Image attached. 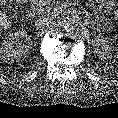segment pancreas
<instances>
[{"instance_id":"pancreas-1","label":"pancreas","mask_w":118,"mask_h":118,"mask_svg":"<svg viewBox=\"0 0 118 118\" xmlns=\"http://www.w3.org/2000/svg\"><path fill=\"white\" fill-rule=\"evenodd\" d=\"M52 0H34L35 4L39 9H44L45 13L50 10L53 5H51ZM87 12L90 16L96 19V26L100 30L110 29L113 27L114 22L110 19L106 12L99 10L96 6L91 5L88 7Z\"/></svg>"}]
</instances>
